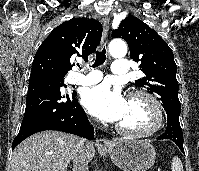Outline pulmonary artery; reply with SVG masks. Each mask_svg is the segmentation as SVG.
<instances>
[{
	"mask_svg": "<svg viewBox=\"0 0 199 171\" xmlns=\"http://www.w3.org/2000/svg\"><path fill=\"white\" fill-rule=\"evenodd\" d=\"M113 75L125 76L129 73V63L126 59L115 60L111 68ZM102 78V74L99 71H90L89 73L76 74L71 78L72 84L77 85H92L99 82Z\"/></svg>",
	"mask_w": 199,
	"mask_h": 171,
	"instance_id": "e3ab8cb5",
	"label": "pulmonary artery"
}]
</instances>
